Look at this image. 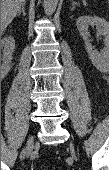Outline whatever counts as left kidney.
<instances>
[{"label":"left kidney","mask_w":109,"mask_h":170,"mask_svg":"<svg viewBox=\"0 0 109 170\" xmlns=\"http://www.w3.org/2000/svg\"><path fill=\"white\" fill-rule=\"evenodd\" d=\"M77 29L85 41V48L92 64L101 72H107L109 69V22L98 16H81L76 22ZM96 26V29L104 37L106 47L102 53L92 49L89 42L88 27Z\"/></svg>","instance_id":"5707ae66"}]
</instances>
